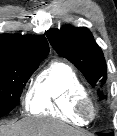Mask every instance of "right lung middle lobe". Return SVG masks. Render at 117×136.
I'll list each match as a JSON object with an SVG mask.
<instances>
[{
	"instance_id": "obj_1",
	"label": "right lung middle lobe",
	"mask_w": 117,
	"mask_h": 136,
	"mask_svg": "<svg viewBox=\"0 0 117 136\" xmlns=\"http://www.w3.org/2000/svg\"><path fill=\"white\" fill-rule=\"evenodd\" d=\"M43 60H0V112H10L19 103L22 88Z\"/></svg>"
}]
</instances>
